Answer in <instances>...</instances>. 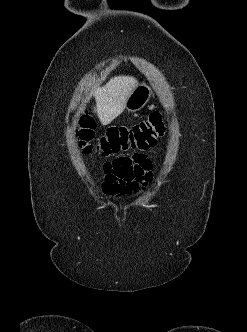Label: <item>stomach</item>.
<instances>
[{"instance_id":"stomach-1","label":"stomach","mask_w":247,"mask_h":332,"mask_svg":"<svg viewBox=\"0 0 247 332\" xmlns=\"http://www.w3.org/2000/svg\"><path fill=\"white\" fill-rule=\"evenodd\" d=\"M151 87L146 83H139L126 101L125 109L128 112L141 110L152 97Z\"/></svg>"}]
</instances>
